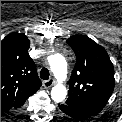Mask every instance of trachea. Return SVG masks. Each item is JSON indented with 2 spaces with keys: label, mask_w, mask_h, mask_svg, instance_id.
Wrapping results in <instances>:
<instances>
[{
  "label": "trachea",
  "mask_w": 122,
  "mask_h": 122,
  "mask_svg": "<svg viewBox=\"0 0 122 122\" xmlns=\"http://www.w3.org/2000/svg\"><path fill=\"white\" fill-rule=\"evenodd\" d=\"M40 77L43 80H48L49 78V70L47 68H42L40 72Z\"/></svg>",
  "instance_id": "obj_1"
}]
</instances>
